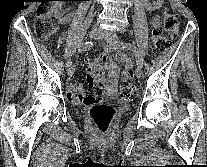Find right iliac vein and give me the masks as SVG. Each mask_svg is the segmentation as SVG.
Segmentation results:
<instances>
[{"label": "right iliac vein", "mask_w": 207, "mask_h": 167, "mask_svg": "<svg viewBox=\"0 0 207 167\" xmlns=\"http://www.w3.org/2000/svg\"><path fill=\"white\" fill-rule=\"evenodd\" d=\"M102 35V32L101 30L98 28V27H93L89 33V37L91 39H96V38H100ZM74 70H75V67L74 65H71L69 68H68V75L69 76H72L73 73H74Z\"/></svg>", "instance_id": "obj_1"}]
</instances>
